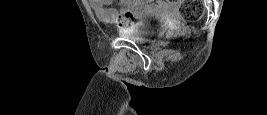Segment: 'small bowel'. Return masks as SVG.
I'll return each mask as SVG.
<instances>
[{
	"label": "small bowel",
	"mask_w": 267,
	"mask_h": 115,
	"mask_svg": "<svg viewBox=\"0 0 267 115\" xmlns=\"http://www.w3.org/2000/svg\"><path fill=\"white\" fill-rule=\"evenodd\" d=\"M111 3V0H90V5L94 12L99 17L105 19L116 18V13L112 9L106 8V6ZM120 4L125 7H131L136 12L137 16L149 13L167 15L178 10L177 4L161 0H122Z\"/></svg>",
	"instance_id": "1"
}]
</instances>
